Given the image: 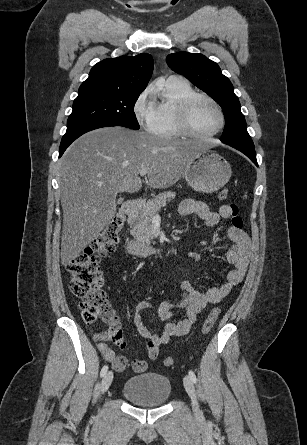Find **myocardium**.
Masks as SVG:
<instances>
[{
	"label": "myocardium",
	"instance_id": "obj_1",
	"mask_svg": "<svg viewBox=\"0 0 307 445\" xmlns=\"http://www.w3.org/2000/svg\"><path fill=\"white\" fill-rule=\"evenodd\" d=\"M201 100L213 104L219 110V112L221 114V118H222L221 126L215 131H212L209 133L200 132L193 123L192 116H191L192 108L198 101H201ZM174 115L177 118L184 133L191 136L188 138L189 140H200V139H204V138L214 137L217 134H219L221 131H223L228 123L227 113H226L224 107L214 98H212L206 94H201V93H194L191 96L187 97L182 102H180L174 108Z\"/></svg>",
	"mask_w": 307,
	"mask_h": 445
}]
</instances>
